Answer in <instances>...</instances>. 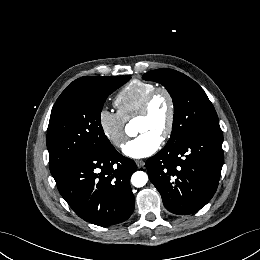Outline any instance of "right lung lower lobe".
Masks as SVG:
<instances>
[{
    "label": "right lung lower lobe",
    "instance_id": "98d812e1",
    "mask_svg": "<svg viewBox=\"0 0 260 260\" xmlns=\"http://www.w3.org/2000/svg\"><path fill=\"white\" fill-rule=\"evenodd\" d=\"M133 160L115 148L104 154L75 156L52 173L58 190L73 211L98 226L127 220L134 210L130 177Z\"/></svg>",
    "mask_w": 260,
    "mask_h": 260
}]
</instances>
